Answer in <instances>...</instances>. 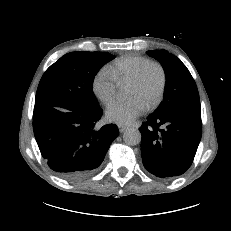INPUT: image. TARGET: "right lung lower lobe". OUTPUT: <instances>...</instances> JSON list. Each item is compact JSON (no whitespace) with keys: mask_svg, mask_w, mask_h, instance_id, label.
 <instances>
[{"mask_svg":"<svg viewBox=\"0 0 231 231\" xmlns=\"http://www.w3.org/2000/svg\"><path fill=\"white\" fill-rule=\"evenodd\" d=\"M103 111H72L37 103L33 131L42 157L62 178L75 181L92 175L118 136L116 125L95 129Z\"/></svg>","mask_w":231,"mask_h":231,"instance_id":"98d812e1","label":"right lung lower lobe"}]
</instances>
